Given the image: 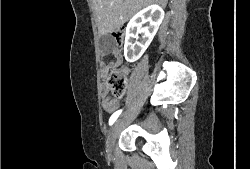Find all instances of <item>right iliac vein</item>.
I'll use <instances>...</instances> for the list:
<instances>
[{
    "mask_svg": "<svg viewBox=\"0 0 250 169\" xmlns=\"http://www.w3.org/2000/svg\"><path fill=\"white\" fill-rule=\"evenodd\" d=\"M120 121H121V119L117 120L110 129L108 139H107V151H108V153L112 152V149L115 145V141H116L117 136H118Z\"/></svg>",
    "mask_w": 250,
    "mask_h": 169,
    "instance_id": "63e3f726",
    "label": "right iliac vein"
}]
</instances>
